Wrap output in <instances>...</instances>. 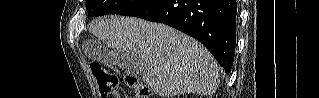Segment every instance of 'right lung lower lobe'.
Segmentation results:
<instances>
[{"instance_id":"right-lung-lower-lobe-1","label":"right lung lower lobe","mask_w":319,"mask_h":98,"mask_svg":"<svg viewBox=\"0 0 319 98\" xmlns=\"http://www.w3.org/2000/svg\"><path fill=\"white\" fill-rule=\"evenodd\" d=\"M174 27L199 40L228 74L236 45V0H146L121 14Z\"/></svg>"}]
</instances>
